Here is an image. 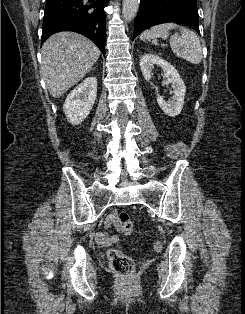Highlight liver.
<instances>
[{
    "label": "liver",
    "instance_id": "liver-1",
    "mask_svg": "<svg viewBox=\"0 0 245 314\" xmlns=\"http://www.w3.org/2000/svg\"><path fill=\"white\" fill-rule=\"evenodd\" d=\"M41 53V74L49 93L59 98L91 70L101 52L87 37L63 31L49 37Z\"/></svg>",
    "mask_w": 245,
    "mask_h": 314
}]
</instances>
